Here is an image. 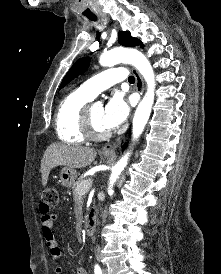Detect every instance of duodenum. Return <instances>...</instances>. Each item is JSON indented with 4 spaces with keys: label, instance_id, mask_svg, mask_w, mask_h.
Returning a JSON list of instances; mask_svg holds the SVG:
<instances>
[{
    "label": "duodenum",
    "instance_id": "1",
    "mask_svg": "<svg viewBox=\"0 0 221 274\" xmlns=\"http://www.w3.org/2000/svg\"><path fill=\"white\" fill-rule=\"evenodd\" d=\"M96 226H97V219H96V216L91 213L89 216H88V219L85 223V226H84V232L87 236H91L94 234L95 230H96Z\"/></svg>",
    "mask_w": 221,
    "mask_h": 274
}]
</instances>
